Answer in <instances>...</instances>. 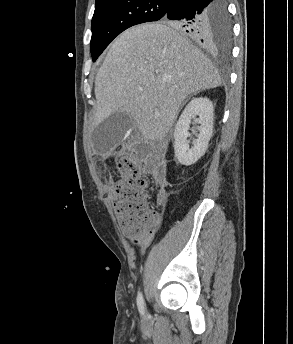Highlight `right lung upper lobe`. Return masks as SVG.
I'll return each mask as SVG.
<instances>
[{
  "mask_svg": "<svg viewBox=\"0 0 293 344\" xmlns=\"http://www.w3.org/2000/svg\"><path fill=\"white\" fill-rule=\"evenodd\" d=\"M102 1H109V0H96V3L95 4H97V3H99V2H102ZM173 1V0H172ZM207 45H210V44H207Z\"/></svg>",
  "mask_w": 293,
  "mask_h": 344,
  "instance_id": "right-lung-upper-lobe-1",
  "label": "right lung upper lobe"
}]
</instances>
